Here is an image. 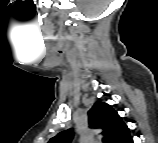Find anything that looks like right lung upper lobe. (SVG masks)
Returning a JSON list of instances; mask_svg holds the SVG:
<instances>
[{
	"label": "right lung upper lobe",
	"mask_w": 158,
	"mask_h": 143,
	"mask_svg": "<svg viewBox=\"0 0 158 143\" xmlns=\"http://www.w3.org/2000/svg\"><path fill=\"white\" fill-rule=\"evenodd\" d=\"M88 115L90 127L102 129L110 143H126L131 138L129 128L109 104L96 102ZM73 137V130L67 129L51 138L49 143H70Z\"/></svg>",
	"instance_id": "obj_1"
}]
</instances>
